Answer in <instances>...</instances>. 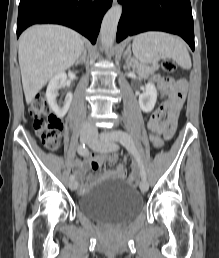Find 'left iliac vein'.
<instances>
[{"mask_svg":"<svg viewBox=\"0 0 219 258\" xmlns=\"http://www.w3.org/2000/svg\"><path fill=\"white\" fill-rule=\"evenodd\" d=\"M112 134L113 132H108L99 137L98 134L94 132L92 138L88 142L89 147L93 150L101 152L115 151L117 149V146L112 140ZM139 188L143 193L148 190V183L146 179H142L139 182Z\"/></svg>","mask_w":219,"mask_h":258,"instance_id":"1","label":"left iliac vein"}]
</instances>
